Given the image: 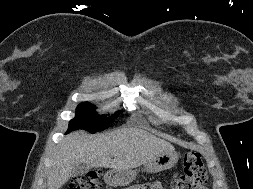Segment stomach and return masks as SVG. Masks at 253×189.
I'll return each instance as SVG.
<instances>
[{"label":"stomach","instance_id":"stomach-1","mask_svg":"<svg viewBox=\"0 0 253 189\" xmlns=\"http://www.w3.org/2000/svg\"><path fill=\"white\" fill-rule=\"evenodd\" d=\"M179 155L175 151L163 152L156 155L145 164V170L149 173L171 169L178 162ZM136 178V172L132 170H110L104 175V180L111 186H125Z\"/></svg>","mask_w":253,"mask_h":189}]
</instances>
